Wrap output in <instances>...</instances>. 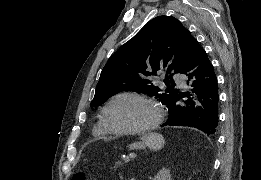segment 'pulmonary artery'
Masks as SVG:
<instances>
[{"label": "pulmonary artery", "instance_id": "1", "mask_svg": "<svg viewBox=\"0 0 261 180\" xmlns=\"http://www.w3.org/2000/svg\"><path fill=\"white\" fill-rule=\"evenodd\" d=\"M171 77H180V72H171ZM174 83H183V78H174Z\"/></svg>", "mask_w": 261, "mask_h": 180}]
</instances>
